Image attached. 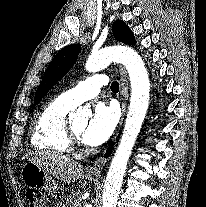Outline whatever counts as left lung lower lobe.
Listing matches in <instances>:
<instances>
[{
  "mask_svg": "<svg viewBox=\"0 0 206 207\" xmlns=\"http://www.w3.org/2000/svg\"><path fill=\"white\" fill-rule=\"evenodd\" d=\"M111 152V148H110V150L108 151V153H110Z\"/></svg>",
  "mask_w": 206,
  "mask_h": 207,
  "instance_id": "0a47b994",
  "label": "left lung lower lobe"
}]
</instances>
